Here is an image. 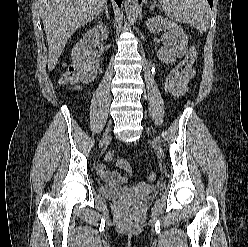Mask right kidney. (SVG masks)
Returning a JSON list of instances; mask_svg holds the SVG:
<instances>
[{"instance_id": "ca27d5eb", "label": "right kidney", "mask_w": 248, "mask_h": 247, "mask_svg": "<svg viewBox=\"0 0 248 247\" xmlns=\"http://www.w3.org/2000/svg\"><path fill=\"white\" fill-rule=\"evenodd\" d=\"M107 37V28L102 23H99L93 29L88 30L83 39L73 47L72 60L78 72V79L83 84L92 82L99 69V60L94 55L92 43Z\"/></svg>"}]
</instances>
